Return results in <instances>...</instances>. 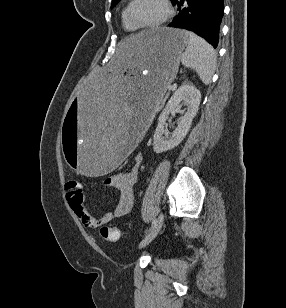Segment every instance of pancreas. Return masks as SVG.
Masks as SVG:
<instances>
[{"mask_svg":"<svg viewBox=\"0 0 286 308\" xmlns=\"http://www.w3.org/2000/svg\"><path fill=\"white\" fill-rule=\"evenodd\" d=\"M164 100L162 99L161 101H158L157 102V106L161 103V102H163Z\"/></svg>","mask_w":286,"mask_h":308,"instance_id":"1","label":"pancreas"}]
</instances>
